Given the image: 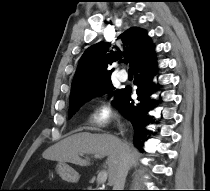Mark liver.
Returning <instances> with one entry per match:
<instances>
[{"mask_svg": "<svg viewBox=\"0 0 210 191\" xmlns=\"http://www.w3.org/2000/svg\"><path fill=\"white\" fill-rule=\"evenodd\" d=\"M128 146L129 166H136L139 152L134 147ZM125 151V143L111 134H92L90 132H80L73 134L62 141L49 147L43 153V157L48 160L58 162H68L79 166L90 165L89 159H82L80 155L95 154L107 156L106 166L108 170L109 184L113 183V177L121 162V157Z\"/></svg>", "mask_w": 210, "mask_h": 191, "instance_id": "liver-1", "label": "liver"}]
</instances>
